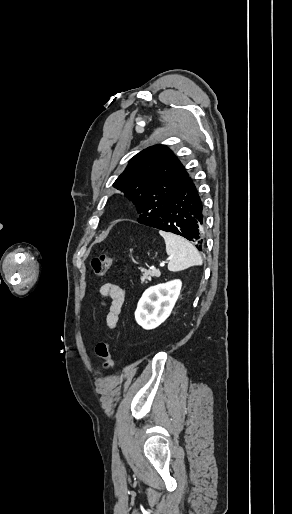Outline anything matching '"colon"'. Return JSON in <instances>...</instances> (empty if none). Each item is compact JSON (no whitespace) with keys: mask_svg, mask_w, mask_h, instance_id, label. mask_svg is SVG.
Instances as JSON below:
<instances>
[{"mask_svg":"<svg viewBox=\"0 0 292 514\" xmlns=\"http://www.w3.org/2000/svg\"><path fill=\"white\" fill-rule=\"evenodd\" d=\"M115 257L106 252L99 257L93 258L91 261V274L99 278L103 276L114 264ZM96 355L101 360L103 369L112 371L114 363L111 355V340L107 336L96 344Z\"/></svg>","mask_w":292,"mask_h":514,"instance_id":"obj_1","label":"colon"}]
</instances>
